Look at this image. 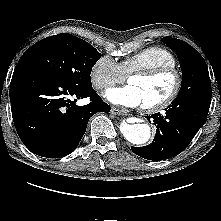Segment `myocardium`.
Masks as SVG:
<instances>
[{
    "label": "myocardium",
    "mask_w": 221,
    "mask_h": 221,
    "mask_svg": "<svg viewBox=\"0 0 221 221\" xmlns=\"http://www.w3.org/2000/svg\"><path fill=\"white\" fill-rule=\"evenodd\" d=\"M162 75H172L175 79L174 87L171 93L165 99L152 105H142V109L146 112H160L173 104V102L179 96L183 85V77L180 70H178L176 67L160 66L151 69L135 70L127 76V80L129 81L132 77L155 78Z\"/></svg>",
    "instance_id": "obj_1"
}]
</instances>
